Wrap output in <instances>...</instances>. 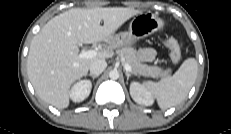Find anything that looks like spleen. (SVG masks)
<instances>
[{"mask_svg": "<svg viewBox=\"0 0 231 134\" xmlns=\"http://www.w3.org/2000/svg\"><path fill=\"white\" fill-rule=\"evenodd\" d=\"M198 73V63L195 58L186 59L174 75L158 82L147 81L146 88L157 99L161 109H168L180 104L188 95Z\"/></svg>", "mask_w": 231, "mask_h": 134, "instance_id": "1", "label": "spleen"}]
</instances>
